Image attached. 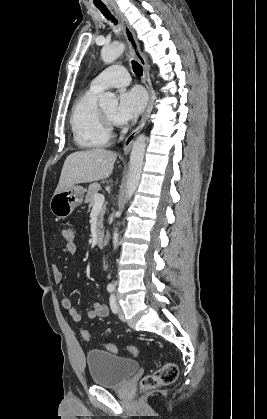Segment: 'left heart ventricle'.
<instances>
[{
    "label": "left heart ventricle",
    "instance_id": "left-heart-ventricle-1",
    "mask_svg": "<svg viewBox=\"0 0 267 419\" xmlns=\"http://www.w3.org/2000/svg\"><path fill=\"white\" fill-rule=\"evenodd\" d=\"M104 111L111 119L114 120L115 119V114H116V111H117V106L113 105V106L107 107V108L104 109Z\"/></svg>",
    "mask_w": 267,
    "mask_h": 419
}]
</instances>
